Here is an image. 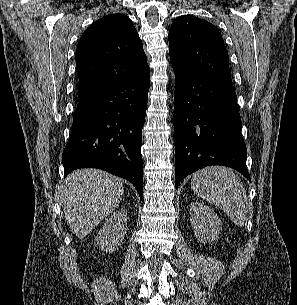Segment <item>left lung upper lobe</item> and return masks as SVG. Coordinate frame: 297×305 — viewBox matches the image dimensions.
Returning <instances> with one entry per match:
<instances>
[{"label": "left lung upper lobe", "instance_id": "5c2ea615", "mask_svg": "<svg viewBox=\"0 0 297 305\" xmlns=\"http://www.w3.org/2000/svg\"><path fill=\"white\" fill-rule=\"evenodd\" d=\"M171 62L194 76L230 75L229 56L218 29L211 23L183 15L169 31Z\"/></svg>", "mask_w": 297, "mask_h": 305}]
</instances>
